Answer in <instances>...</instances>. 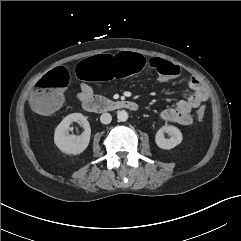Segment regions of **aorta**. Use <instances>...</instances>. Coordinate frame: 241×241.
Masks as SVG:
<instances>
[{"label":"aorta","mask_w":241,"mask_h":241,"mask_svg":"<svg viewBox=\"0 0 241 241\" xmlns=\"http://www.w3.org/2000/svg\"><path fill=\"white\" fill-rule=\"evenodd\" d=\"M117 119L121 122H125L128 119V113L125 110L118 111Z\"/></svg>","instance_id":"1"}]
</instances>
